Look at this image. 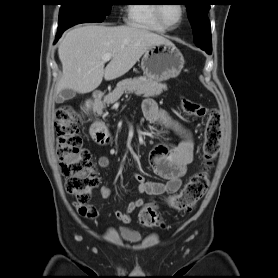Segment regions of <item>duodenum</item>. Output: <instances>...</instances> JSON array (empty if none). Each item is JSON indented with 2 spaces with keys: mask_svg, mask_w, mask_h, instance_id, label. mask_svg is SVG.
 Returning <instances> with one entry per match:
<instances>
[{
  "mask_svg": "<svg viewBox=\"0 0 278 278\" xmlns=\"http://www.w3.org/2000/svg\"><path fill=\"white\" fill-rule=\"evenodd\" d=\"M103 95L104 93L101 90H95L86 102L87 113L93 119L90 127V134L93 139L99 143H105L109 140L106 128L99 121L94 119L95 108L100 104Z\"/></svg>",
  "mask_w": 278,
  "mask_h": 278,
  "instance_id": "1",
  "label": "duodenum"
}]
</instances>
